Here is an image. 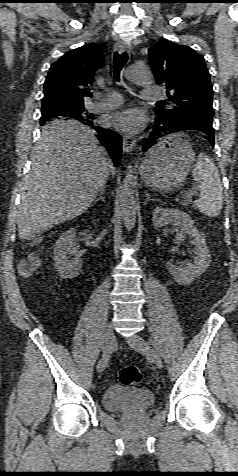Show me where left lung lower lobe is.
Returning <instances> with one entry per match:
<instances>
[{"instance_id":"left-lung-lower-lobe-1","label":"left lung lower lobe","mask_w":238,"mask_h":476,"mask_svg":"<svg viewBox=\"0 0 238 476\" xmlns=\"http://www.w3.org/2000/svg\"><path fill=\"white\" fill-rule=\"evenodd\" d=\"M212 120L213 118L200 115L158 118L154 129L144 143L143 151L152 148L162 136L182 130H197L205 133V139L212 145V147H214V129L212 127ZM169 130L173 131L167 132Z\"/></svg>"}]
</instances>
